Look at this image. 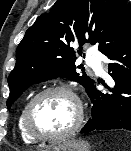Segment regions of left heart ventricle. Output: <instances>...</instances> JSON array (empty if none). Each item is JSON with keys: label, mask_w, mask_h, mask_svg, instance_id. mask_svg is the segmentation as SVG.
Segmentation results:
<instances>
[{"label": "left heart ventricle", "mask_w": 131, "mask_h": 151, "mask_svg": "<svg viewBox=\"0 0 131 151\" xmlns=\"http://www.w3.org/2000/svg\"><path fill=\"white\" fill-rule=\"evenodd\" d=\"M75 115L73 101L62 93H53L44 96L34 105L30 124L39 135H57L72 125Z\"/></svg>", "instance_id": "1"}]
</instances>
